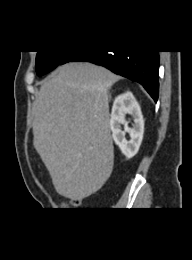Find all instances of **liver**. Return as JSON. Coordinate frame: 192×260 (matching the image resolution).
Instances as JSON below:
<instances>
[{"instance_id": "liver-1", "label": "liver", "mask_w": 192, "mask_h": 260, "mask_svg": "<svg viewBox=\"0 0 192 260\" xmlns=\"http://www.w3.org/2000/svg\"><path fill=\"white\" fill-rule=\"evenodd\" d=\"M118 80L104 67L75 62L42 82L34 103L33 145L63 197L82 200L112 173L108 89Z\"/></svg>"}]
</instances>
